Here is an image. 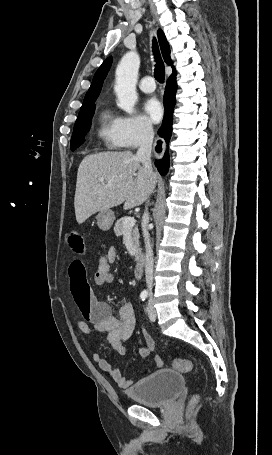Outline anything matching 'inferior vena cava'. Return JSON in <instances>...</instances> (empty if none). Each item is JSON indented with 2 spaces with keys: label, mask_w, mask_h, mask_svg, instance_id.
Returning a JSON list of instances; mask_svg holds the SVG:
<instances>
[{
  "label": "inferior vena cava",
  "mask_w": 272,
  "mask_h": 455,
  "mask_svg": "<svg viewBox=\"0 0 272 455\" xmlns=\"http://www.w3.org/2000/svg\"><path fill=\"white\" fill-rule=\"evenodd\" d=\"M154 138V131L151 125H145L142 130L140 147L136 153V157L142 162L144 170L149 174H153L152 163H151V151L152 143ZM149 220V215L146 210L143 214V237L145 241V278L146 284L149 290V296H152V287H153V250L150 244V235L146 228V223Z\"/></svg>",
  "instance_id": "1"
}]
</instances>
